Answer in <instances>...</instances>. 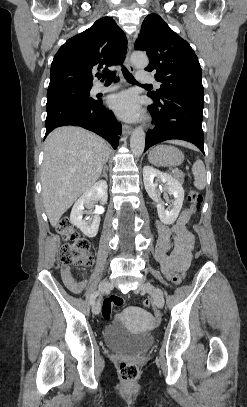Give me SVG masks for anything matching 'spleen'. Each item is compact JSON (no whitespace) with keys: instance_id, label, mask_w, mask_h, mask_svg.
I'll use <instances>...</instances> for the list:
<instances>
[{"instance_id":"3e777b00","label":"spleen","mask_w":247,"mask_h":407,"mask_svg":"<svg viewBox=\"0 0 247 407\" xmlns=\"http://www.w3.org/2000/svg\"><path fill=\"white\" fill-rule=\"evenodd\" d=\"M192 172L194 175V186L199 190H203L206 186V170L204 163L199 158L193 164Z\"/></svg>"}]
</instances>
